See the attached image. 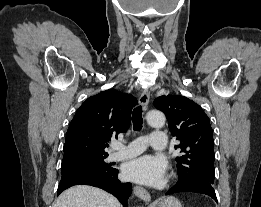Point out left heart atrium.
<instances>
[{
    "label": "left heart atrium",
    "instance_id": "obj_1",
    "mask_svg": "<svg viewBox=\"0 0 261 207\" xmlns=\"http://www.w3.org/2000/svg\"><path fill=\"white\" fill-rule=\"evenodd\" d=\"M166 168V161L161 156L143 155L128 161L123 167V175L130 181L157 186L163 182Z\"/></svg>",
    "mask_w": 261,
    "mask_h": 207
}]
</instances>
